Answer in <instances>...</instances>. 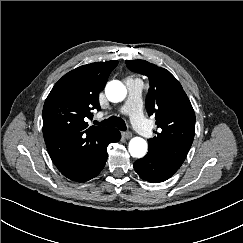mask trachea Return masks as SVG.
<instances>
[{
	"label": "trachea",
	"mask_w": 243,
	"mask_h": 243,
	"mask_svg": "<svg viewBox=\"0 0 243 243\" xmlns=\"http://www.w3.org/2000/svg\"><path fill=\"white\" fill-rule=\"evenodd\" d=\"M94 123L96 125L117 127L118 129H120L122 131H126V129H127L124 120L119 118V117H116V116H112V117L105 119L101 122L95 121Z\"/></svg>",
	"instance_id": "trachea-1"
}]
</instances>
